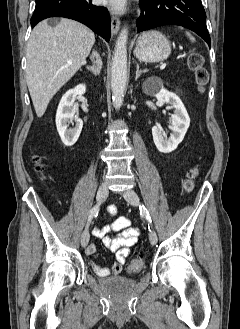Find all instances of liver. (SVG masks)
I'll list each match as a JSON object with an SVG mask.
<instances>
[{
  "label": "liver",
  "instance_id": "obj_1",
  "mask_svg": "<svg viewBox=\"0 0 240 329\" xmlns=\"http://www.w3.org/2000/svg\"><path fill=\"white\" fill-rule=\"evenodd\" d=\"M94 33L73 20L61 19L54 27L42 21L27 44L26 82L38 117L53 96L86 63Z\"/></svg>",
  "mask_w": 240,
  "mask_h": 329
}]
</instances>
